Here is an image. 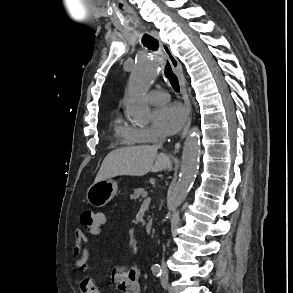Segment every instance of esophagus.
<instances>
[{"mask_svg":"<svg viewBox=\"0 0 293 293\" xmlns=\"http://www.w3.org/2000/svg\"><path fill=\"white\" fill-rule=\"evenodd\" d=\"M150 34L152 36H154L160 43L164 53L166 54V56L168 57L170 64L172 66L173 71L176 73L178 80H179V85H180V91L181 94L183 96L184 99V104L186 107V111H187V121L186 124L184 126V129L181 133V138H184L186 136V134L189 131V127L191 124V103L187 94V90H186V82H185V77L182 71V67L181 64L179 62V60L175 57V55L171 52L168 44L164 43L160 36L159 33L155 30L150 31Z\"/></svg>","mask_w":293,"mask_h":293,"instance_id":"1","label":"esophagus"}]
</instances>
